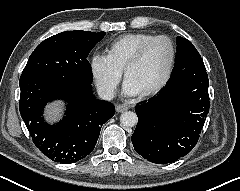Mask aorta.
<instances>
[{"label": "aorta", "instance_id": "1", "mask_svg": "<svg viewBox=\"0 0 240 191\" xmlns=\"http://www.w3.org/2000/svg\"><path fill=\"white\" fill-rule=\"evenodd\" d=\"M120 122L125 127H133L137 124L138 118L135 112L126 111L121 114Z\"/></svg>", "mask_w": 240, "mask_h": 191}]
</instances>
